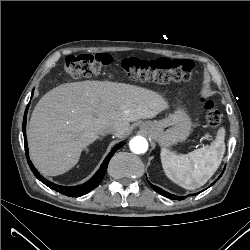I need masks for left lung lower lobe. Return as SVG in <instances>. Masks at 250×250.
<instances>
[{
  "label": "left lung lower lobe",
  "mask_w": 250,
  "mask_h": 250,
  "mask_svg": "<svg viewBox=\"0 0 250 250\" xmlns=\"http://www.w3.org/2000/svg\"><path fill=\"white\" fill-rule=\"evenodd\" d=\"M222 175V174H221ZM220 175V176H221ZM216 182V181H215ZM214 182V183H215ZM151 185V187L157 192V193H159V194H161V195H163V196H165V197H167V198H170V199H174V200H182V199H185V197H187V196H176V195H173V194H170V193H168V192H166V191H164V190H162L161 188H159V187H157V186H155V185H152V184H150Z\"/></svg>",
  "instance_id": "obj_1"
}]
</instances>
